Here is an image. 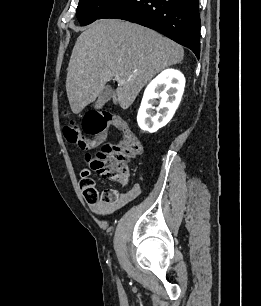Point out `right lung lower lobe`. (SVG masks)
Masks as SVG:
<instances>
[{"label": "right lung lower lobe", "instance_id": "right-lung-lower-lobe-1", "mask_svg": "<svg viewBox=\"0 0 261 306\" xmlns=\"http://www.w3.org/2000/svg\"><path fill=\"white\" fill-rule=\"evenodd\" d=\"M116 18L154 29L200 55L199 0H117L98 19Z\"/></svg>", "mask_w": 261, "mask_h": 306}]
</instances>
